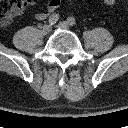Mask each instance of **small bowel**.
<instances>
[{
    "mask_svg": "<svg viewBox=\"0 0 128 128\" xmlns=\"http://www.w3.org/2000/svg\"><path fill=\"white\" fill-rule=\"evenodd\" d=\"M28 4H33L34 0H27ZM61 4V0H49L45 9L40 10L36 13V18L38 20H45L48 16H50L54 11L58 9Z\"/></svg>",
    "mask_w": 128,
    "mask_h": 128,
    "instance_id": "obj_1",
    "label": "small bowel"
}]
</instances>
